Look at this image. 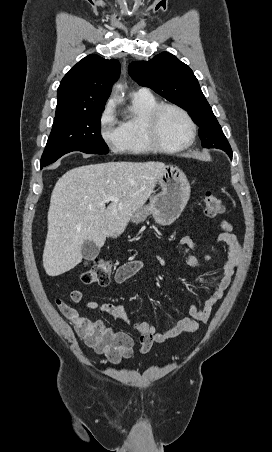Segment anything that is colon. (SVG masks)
Instances as JSON below:
<instances>
[{
  "mask_svg": "<svg viewBox=\"0 0 272 452\" xmlns=\"http://www.w3.org/2000/svg\"><path fill=\"white\" fill-rule=\"evenodd\" d=\"M204 213L209 218H216L224 213L225 207L220 198L214 193L207 192L203 198ZM113 263L109 259H95L90 267L82 273L81 281L85 284L106 286L110 282ZM57 306L62 312H71L70 305L57 300ZM111 362H118L126 357L118 343L112 337H104L98 344Z\"/></svg>",
  "mask_w": 272,
  "mask_h": 452,
  "instance_id": "5ec220e1",
  "label": "colon"
}]
</instances>
